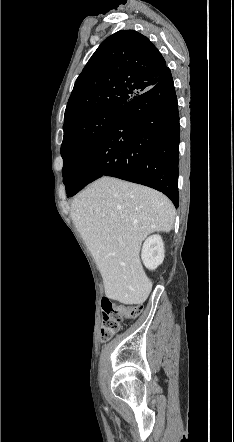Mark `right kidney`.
Here are the masks:
<instances>
[{"instance_id":"1","label":"right kidney","mask_w":234,"mask_h":442,"mask_svg":"<svg viewBox=\"0 0 234 442\" xmlns=\"http://www.w3.org/2000/svg\"><path fill=\"white\" fill-rule=\"evenodd\" d=\"M164 243L159 235L148 237L142 246L141 258L146 268L156 269L164 260Z\"/></svg>"}]
</instances>
